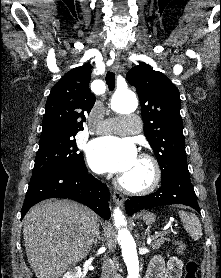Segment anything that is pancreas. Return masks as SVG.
<instances>
[{
	"mask_svg": "<svg viewBox=\"0 0 221 278\" xmlns=\"http://www.w3.org/2000/svg\"><path fill=\"white\" fill-rule=\"evenodd\" d=\"M152 240H153L152 248L159 249V247L161 245H163V243L165 241H168L169 239L164 237V234H158V235L152 236Z\"/></svg>",
	"mask_w": 221,
	"mask_h": 278,
	"instance_id": "cf45deb5",
	"label": "pancreas"
}]
</instances>
